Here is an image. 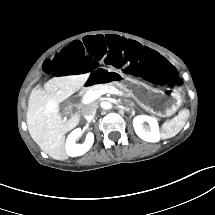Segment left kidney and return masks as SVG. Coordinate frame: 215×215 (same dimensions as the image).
Here are the masks:
<instances>
[{
    "mask_svg": "<svg viewBox=\"0 0 215 215\" xmlns=\"http://www.w3.org/2000/svg\"><path fill=\"white\" fill-rule=\"evenodd\" d=\"M147 122L150 126V131H147L142 125L143 122ZM133 127L135 133L143 140L147 142H158L160 140L159 126L155 118L147 115H139L133 119ZM144 134V136L141 135Z\"/></svg>",
    "mask_w": 215,
    "mask_h": 215,
    "instance_id": "left-kidney-1",
    "label": "left kidney"
}]
</instances>
